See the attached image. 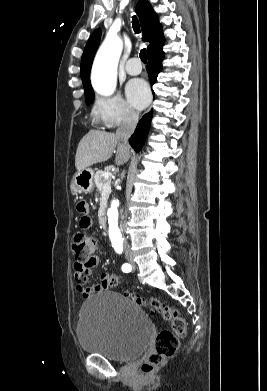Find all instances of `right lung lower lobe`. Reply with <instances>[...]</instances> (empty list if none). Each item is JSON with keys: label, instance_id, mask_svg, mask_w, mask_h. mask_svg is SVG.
Masks as SVG:
<instances>
[{"label": "right lung lower lobe", "instance_id": "98d812e1", "mask_svg": "<svg viewBox=\"0 0 267 391\" xmlns=\"http://www.w3.org/2000/svg\"><path fill=\"white\" fill-rule=\"evenodd\" d=\"M164 58V52L162 48L157 52L148 56V65L146 70L149 75L151 86L156 83L157 75L162 70V60ZM152 111L145 114L139 121L134 134L130 137L129 143L136 152H139L145 143L146 135L149 131Z\"/></svg>", "mask_w": 267, "mask_h": 391}]
</instances>
